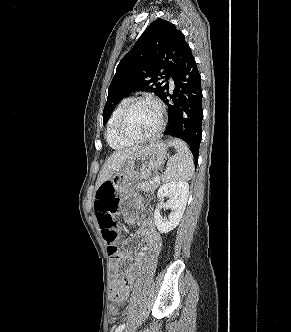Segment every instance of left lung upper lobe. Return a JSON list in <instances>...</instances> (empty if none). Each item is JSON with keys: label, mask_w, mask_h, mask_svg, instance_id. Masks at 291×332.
<instances>
[{"label": "left lung upper lobe", "mask_w": 291, "mask_h": 332, "mask_svg": "<svg viewBox=\"0 0 291 332\" xmlns=\"http://www.w3.org/2000/svg\"><path fill=\"white\" fill-rule=\"evenodd\" d=\"M187 45L174 24L160 18L152 22L117 66L108 89L104 123L118 102L133 91L153 92L162 98L169 83L161 79L175 73Z\"/></svg>", "instance_id": "left-lung-upper-lobe-1"}]
</instances>
